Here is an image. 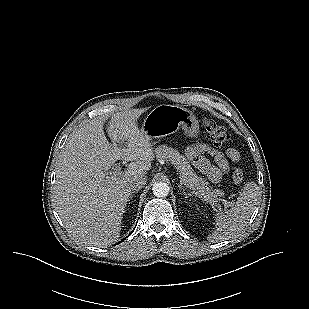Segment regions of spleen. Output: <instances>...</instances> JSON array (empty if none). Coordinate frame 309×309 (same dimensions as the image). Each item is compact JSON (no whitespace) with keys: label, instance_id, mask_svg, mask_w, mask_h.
<instances>
[{"label":"spleen","instance_id":"obj_1","mask_svg":"<svg viewBox=\"0 0 309 309\" xmlns=\"http://www.w3.org/2000/svg\"><path fill=\"white\" fill-rule=\"evenodd\" d=\"M259 195L258 185L253 181L247 182L235 205L215 214L216 230L208 239L213 242L224 241L242 231L257 205Z\"/></svg>","mask_w":309,"mask_h":309}]
</instances>
